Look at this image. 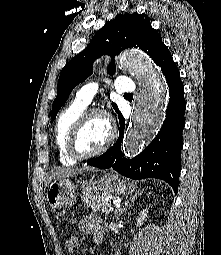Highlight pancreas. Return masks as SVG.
<instances>
[{"label": "pancreas", "instance_id": "pancreas-1", "mask_svg": "<svg viewBox=\"0 0 221 255\" xmlns=\"http://www.w3.org/2000/svg\"><path fill=\"white\" fill-rule=\"evenodd\" d=\"M111 197L109 193H96L93 196L84 198V201L87 207L104 214H109V207L112 206Z\"/></svg>", "mask_w": 221, "mask_h": 255}]
</instances>
